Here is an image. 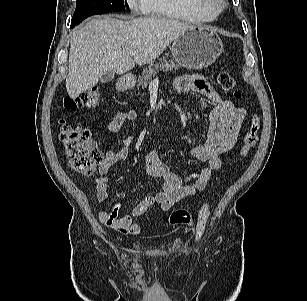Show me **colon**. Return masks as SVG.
Here are the masks:
<instances>
[{"label": "colon", "mask_w": 307, "mask_h": 301, "mask_svg": "<svg viewBox=\"0 0 307 301\" xmlns=\"http://www.w3.org/2000/svg\"><path fill=\"white\" fill-rule=\"evenodd\" d=\"M220 86L226 91H233L236 98L241 97V93L236 90V81L227 72L218 75ZM101 103V93L98 88H91L74 98L64 100V107L67 109L76 108H96ZM260 129V118L253 115L249 121L247 130L243 137V142L239 150L241 157L246 156L255 146ZM60 140L62 141L65 154L71 170L83 176L94 173L96 166L103 160V155L98 148L92 133L89 129L78 125H73L62 121L60 126ZM211 212V203L206 202L197 213L195 224L197 234H201L208 222ZM169 222L173 226L193 225L190 212L185 209L173 211L170 214Z\"/></svg>", "instance_id": "1"}]
</instances>
